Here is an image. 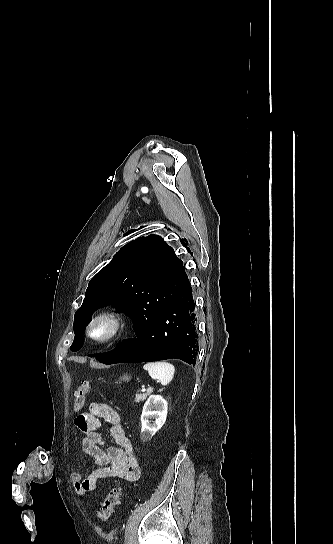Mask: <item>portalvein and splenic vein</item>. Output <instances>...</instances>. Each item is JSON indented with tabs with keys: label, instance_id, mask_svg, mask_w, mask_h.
<instances>
[{
	"label": "portal vein and splenic vein",
	"instance_id": "18ae733b",
	"mask_svg": "<svg viewBox=\"0 0 333 544\" xmlns=\"http://www.w3.org/2000/svg\"><path fill=\"white\" fill-rule=\"evenodd\" d=\"M142 391L144 392V391H146V389H142ZM148 391H152V388L149 387V388H148Z\"/></svg>",
	"mask_w": 333,
	"mask_h": 544
}]
</instances>
